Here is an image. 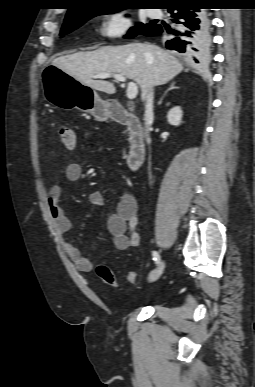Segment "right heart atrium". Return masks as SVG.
<instances>
[{
	"label": "right heart atrium",
	"mask_w": 255,
	"mask_h": 387,
	"mask_svg": "<svg viewBox=\"0 0 255 387\" xmlns=\"http://www.w3.org/2000/svg\"><path fill=\"white\" fill-rule=\"evenodd\" d=\"M132 26V20L126 11L118 10L107 15L100 27V34L106 39L125 36Z\"/></svg>",
	"instance_id": "right-heart-atrium-1"
}]
</instances>
